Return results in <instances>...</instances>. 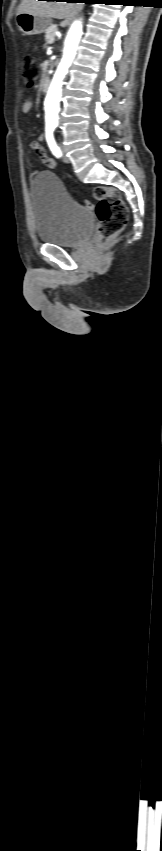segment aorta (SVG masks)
<instances>
[{
  "label": "aorta",
  "mask_w": 162,
  "mask_h": 851,
  "mask_svg": "<svg viewBox=\"0 0 162 851\" xmlns=\"http://www.w3.org/2000/svg\"><path fill=\"white\" fill-rule=\"evenodd\" d=\"M82 33V22L80 20H77L72 24L67 34V37L65 39L63 57L53 76L45 99L47 122L58 121L63 80L68 73V69L72 64V61L75 58L77 46L81 39Z\"/></svg>",
  "instance_id": "aorta-1"
}]
</instances>
